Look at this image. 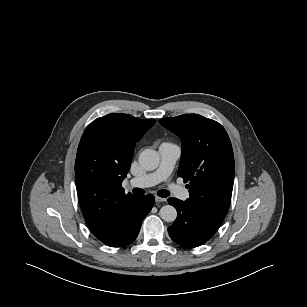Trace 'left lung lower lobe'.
Returning <instances> with one entry per match:
<instances>
[{"label":"left lung lower lobe","mask_w":307,"mask_h":307,"mask_svg":"<svg viewBox=\"0 0 307 307\" xmlns=\"http://www.w3.org/2000/svg\"><path fill=\"white\" fill-rule=\"evenodd\" d=\"M168 203L178 212L177 219L168 228L170 237L177 244L193 248L204 244L217 231V227L196 216L183 201L169 198Z\"/></svg>","instance_id":"1"}]
</instances>
